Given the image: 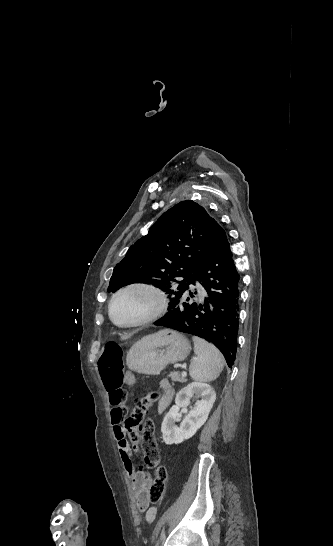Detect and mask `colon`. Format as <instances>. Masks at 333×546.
<instances>
[{
    "label": "colon",
    "mask_w": 333,
    "mask_h": 546,
    "mask_svg": "<svg viewBox=\"0 0 333 546\" xmlns=\"http://www.w3.org/2000/svg\"><path fill=\"white\" fill-rule=\"evenodd\" d=\"M98 369L103 385L108 392L121 391L120 388L125 381V376L123 374V352L119 343L110 341L104 346L98 358ZM161 397L158 392H152L145 399L137 400L131 414L124 421V427L133 450L142 454L146 467L155 470V479L148 493V501L152 503L162 500L168 479L167 468L161 464L160 451L154 435V422L147 418L149 405L159 401ZM120 399V397H115L113 401L118 402Z\"/></svg>",
    "instance_id": "5ec220e1"
}]
</instances>
